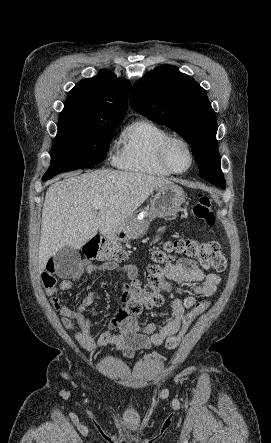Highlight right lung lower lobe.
Here are the masks:
<instances>
[{"label": "right lung lower lobe", "instance_id": "obj_1", "mask_svg": "<svg viewBox=\"0 0 271 443\" xmlns=\"http://www.w3.org/2000/svg\"><path fill=\"white\" fill-rule=\"evenodd\" d=\"M58 174H59V173H58ZM55 175H57V174H54V175H46V174H45V175L43 176V180H44V181H47V180L51 179L52 177H54Z\"/></svg>", "mask_w": 271, "mask_h": 443}]
</instances>
